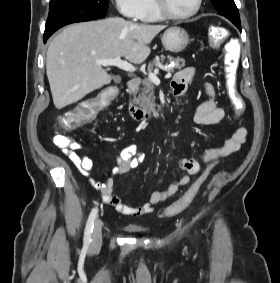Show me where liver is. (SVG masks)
<instances>
[{
  "mask_svg": "<svg viewBox=\"0 0 280 283\" xmlns=\"http://www.w3.org/2000/svg\"><path fill=\"white\" fill-rule=\"evenodd\" d=\"M165 28L110 17L63 29L50 43L46 57L55 107L76 103L111 82L112 75L97 60L124 57L134 64L144 62L150 54L148 45Z\"/></svg>",
  "mask_w": 280,
  "mask_h": 283,
  "instance_id": "1",
  "label": "liver"
}]
</instances>
